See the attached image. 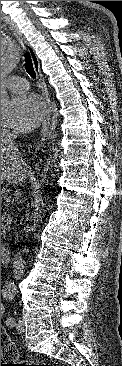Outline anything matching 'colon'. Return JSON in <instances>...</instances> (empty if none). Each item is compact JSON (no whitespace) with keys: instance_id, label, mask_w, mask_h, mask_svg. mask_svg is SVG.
Wrapping results in <instances>:
<instances>
[{"instance_id":"obj_1","label":"colon","mask_w":122,"mask_h":366,"mask_svg":"<svg viewBox=\"0 0 122 366\" xmlns=\"http://www.w3.org/2000/svg\"><path fill=\"white\" fill-rule=\"evenodd\" d=\"M17 358L16 349L8 339L7 334L1 328V359L15 360ZM10 366H52L49 363H37L33 361H23L17 364H11Z\"/></svg>"}]
</instances>
